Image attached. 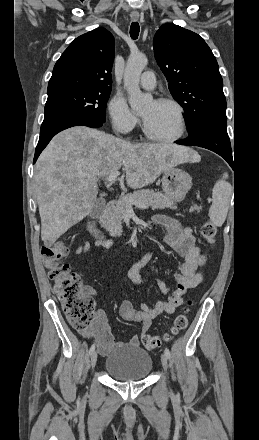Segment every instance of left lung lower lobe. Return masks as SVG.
Segmentation results:
<instances>
[{"label": "left lung lower lobe", "instance_id": "left-lung-lower-lobe-1", "mask_svg": "<svg viewBox=\"0 0 259 440\" xmlns=\"http://www.w3.org/2000/svg\"><path fill=\"white\" fill-rule=\"evenodd\" d=\"M177 144L199 146L223 157L232 166V150L227 134V121L220 119H208L201 122L195 129L189 132V136Z\"/></svg>", "mask_w": 259, "mask_h": 440}]
</instances>
